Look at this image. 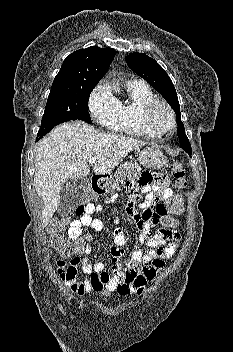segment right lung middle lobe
<instances>
[{"instance_id": "right-lung-middle-lobe-1", "label": "right lung middle lobe", "mask_w": 233, "mask_h": 352, "mask_svg": "<svg viewBox=\"0 0 233 352\" xmlns=\"http://www.w3.org/2000/svg\"><path fill=\"white\" fill-rule=\"evenodd\" d=\"M96 85L73 90H51L38 133L70 120L91 123L87 109L89 96Z\"/></svg>"}]
</instances>
